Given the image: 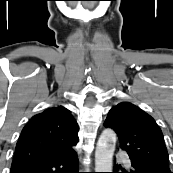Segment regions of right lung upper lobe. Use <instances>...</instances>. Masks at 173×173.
<instances>
[{
  "instance_id": "1",
  "label": "right lung upper lobe",
  "mask_w": 173,
  "mask_h": 173,
  "mask_svg": "<svg viewBox=\"0 0 173 173\" xmlns=\"http://www.w3.org/2000/svg\"><path fill=\"white\" fill-rule=\"evenodd\" d=\"M78 125L63 106L48 108L31 118L15 148L13 164L60 156L73 151Z\"/></svg>"
}]
</instances>
